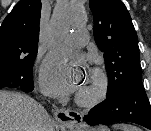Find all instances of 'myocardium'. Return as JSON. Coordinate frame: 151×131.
Instances as JSON below:
<instances>
[{"label": "myocardium", "instance_id": "f54148a6", "mask_svg": "<svg viewBox=\"0 0 151 131\" xmlns=\"http://www.w3.org/2000/svg\"><path fill=\"white\" fill-rule=\"evenodd\" d=\"M90 76L95 80V87L90 93H78L76 102L83 107H94L104 101L109 92V78L101 68H93Z\"/></svg>", "mask_w": 151, "mask_h": 131}]
</instances>
